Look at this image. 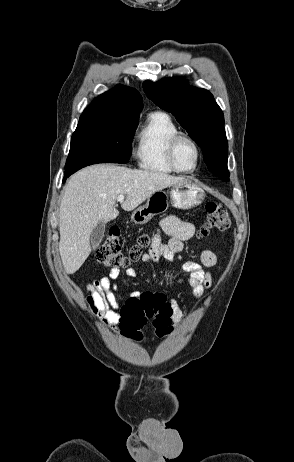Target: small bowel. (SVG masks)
I'll use <instances>...</instances> for the list:
<instances>
[{"instance_id": "1", "label": "small bowel", "mask_w": 294, "mask_h": 462, "mask_svg": "<svg viewBox=\"0 0 294 462\" xmlns=\"http://www.w3.org/2000/svg\"><path fill=\"white\" fill-rule=\"evenodd\" d=\"M160 228L170 236V240L168 243H163L160 234L157 233L148 252L142 255L143 262L157 263L161 257L173 260L177 254L184 250V242L189 240L195 231L191 223L182 221L175 216L165 217L160 223ZM216 261L217 258L214 252L210 250L201 251L198 254V261H186L183 263L182 267L187 276L184 280H179V283H186L193 296L200 298L205 289L211 284V274L209 271L204 270L203 267H213ZM119 274V269L112 268L108 275L95 279L86 285V290L88 291L86 301L91 311L114 334L119 333L118 323L121 310L116 298V292L119 289L116 279ZM125 274L130 278L137 277V271L134 268H128ZM169 302L172 308L171 321L174 325H179L183 312L174 299Z\"/></svg>"}]
</instances>
